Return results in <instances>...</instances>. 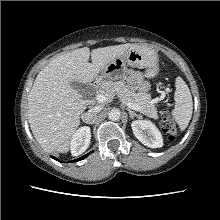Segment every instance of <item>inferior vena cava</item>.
Wrapping results in <instances>:
<instances>
[{
	"label": "inferior vena cava",
	"instance_id": "obj_1",
	"mask_svg": "<svg viewBox=\"0 0 220 220\" xmlns=\"http://www.w3.org/2000/svg\"><path fill=\"white\" fill-rule=\"evenodd\" d=\"M102 110V107L100 106H95L93 108H91L87 113H84L82 115V119L84 121H88L90 116H95L97 113H99Z\"/></svg>",
	"mask_w": 220,
	"mask_h": 220
}]
</instances>
